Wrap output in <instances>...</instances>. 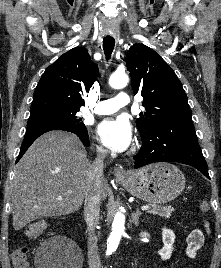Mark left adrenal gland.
Instances as JSON below:
<instances>
[{
	"label": "left adrenal gland",
	"mask_w": 221,
	"mask_h": 268,
	"mask_svg": "<svg viewBox=\"0 0 221 268\" xmlns=\"http://www.w3.org/2000/svg\"><path fill=\"white\" fill-rule=\"evenodd\" d=\"M142 215L141 211L139 210V208L136 209V211H134L132 213V223L135 226L139 225V217Z\"/></svg>",
	"instance_id": "left-adrenal-gland-1"
}]
</instances>
